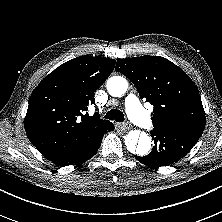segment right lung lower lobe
I'll use <instances>...</instances> for the list:
<instances>
[{"instance_id": "1", "label": "right lung lower lobe", "mask_w": 222, "mask_h": 222, "mask_svg": "<svg viewBox=\"0 0 222 222\" xmlns=\"http://www.w3.org/2000/svg\"><path fill=\"white\" fill-rule=\"evenodd\" d=\"M113 129H114V125L110 122L96 136H94L92 140L89 141V143L86 146L70 154L51 159L50 161H52L53 163L59 166L83 164L85 161L89 160L96 154V152L98 151L101 145L103 135L105 134V132L111 131Z\"/></svg>"}]
</instances>
